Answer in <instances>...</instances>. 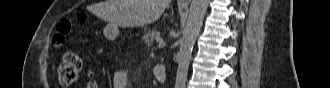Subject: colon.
Here are the masks:
<instances>
[{
	"instance_id": "obj_1",
	"label": "colon",
	"mask_w": 330,
	"mask_h": 88,
	"mask_svg": "<svg viewBox=\"0 0 330 88\" xmlns=\"http://www.w3.org/2000/svg\"><path fill=\"white\" fill-rule=\"evenodd\" d=\"M71 23L67 19L61 20L57 25V32L53 37V43L59 46L64 43L66 35L70 32ZM81 57L73 51H68L64 54L59 66V80L62 86L68 87L73 85L82 69ZM89 87H96L91 84Z\"/></svg>"
}]
</instances>
